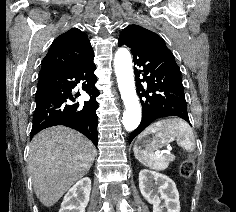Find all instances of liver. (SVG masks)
Here are the masks:
<instances>
[{
	"label": "liver",
	"mask_w": 236,
	"mask_h": 212,
	"mask_svg": "<svg viewBox=\"0 0 236 212\" xmlns=\"http://www.w3.org/2000/svg\"><path fill=\"white\" fill-rule=\"evenodd\" d=\"M95 155L93 143L68 127L53 126L35 135L29 170L39 201L46 207L54 205L88 173Z\"/></svg>",
	"instance_id": "liver-1"
}]
</instances>
